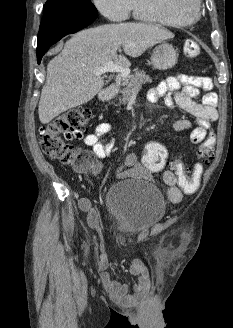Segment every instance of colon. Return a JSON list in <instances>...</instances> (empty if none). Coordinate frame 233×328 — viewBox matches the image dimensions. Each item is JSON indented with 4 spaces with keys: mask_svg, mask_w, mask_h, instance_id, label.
I'll list each match as a JSON object with an SVG mask.
<instances>
[{
    "mask_svg": "<svg viewBox=\"0 0 233 328\" xmlns=\"http://www.w3.org/2000/svg\"><path fill=\"white\" fill-rule=\"evenodd\" d=\"M188 57L200 54V47L195 41L184 45ZM91 111L88 108H76L54 118L40 128L39 142L43 152L50 158L64 164L72 165L76 170L90 166L93 155L88 150L74 147L70 141L80 138L89 126ZM215 136L209 134L203 141L197 155L198 161L192 168H187L179 160L172 163V171L177 177L178 185L186 194L194 193L200 186L205 166L212 163L214 157ZM167 161L166 149L159 143L150 142L143 150L142 164L150 171H159Z\"/></svg>",
    "mask_w": 233,
    "mask_h": 328,
    "instance_id": "obj_1",
    "label": "colon"
}]
</instances>
